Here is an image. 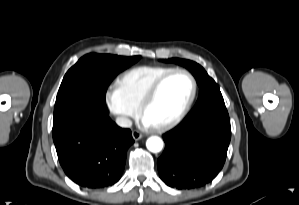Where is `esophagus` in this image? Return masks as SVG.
Returning a JSON list of instances; mask_svg holds the SVG:
<instances>
[{"label":"esophagus","instance_id":"34e87169","mask_svg":"<svg viewBox=\"0 0 299 205\" xmlns=\"http://www.w3.org/2000/svg\"><path fill=\"white\" fill-rule=\"evenodd\" d=\"M142 136L143 135L139 131L137 130L132 131V137L135 141L140 140Z\"/></svg>","mask_w":299,"mask_h":205}]
</instances>
